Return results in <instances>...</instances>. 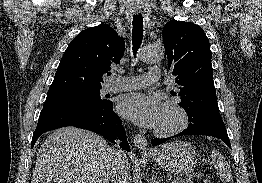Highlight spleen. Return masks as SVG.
<instances>
[{"instance_id":"1","label":"spleen","mask_w":262,"mask_h":183,"mask_svg":"<svg viewBox=\"0 0 262 183\" xmlns=\"http://www.w3.org/2000/svg\"><path fill=\"white\" fill-rule=\"evenodd\" d=\"M211 159L214 167L217 170L219 179L223 182L232 181L233 174L224 156L219 151L213 150L211 153Z\"/></svg>"}]
</instances>
